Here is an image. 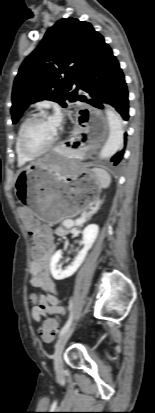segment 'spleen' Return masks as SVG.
<instances>
[{
  "label": "spleen",
  "mask_w": 155,
  "mask_h": 413,
  "mask_svg": "<svg viewBox=\"0 0 155 413\" xmlns=\"http://www.w3.org/2000/svg\"><path fill=\"white\" fill-rule=\"evenodd\" d=\"M92 171L98 178L102 188H108L111 183V176L109 175V173L101 168H93Z\"/></svg>",
  "instance_id": "1"
}]
</instances>
